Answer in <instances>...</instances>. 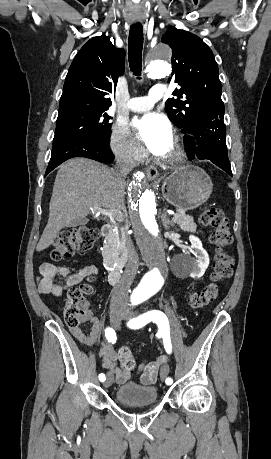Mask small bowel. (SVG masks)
<instances>
[{"label": "small bowel", "mask_w": 271, "mask_h": 459, "mask_svg": "<svg viewBox=\"0 0 271 459\" xmlns=\"http://www.w3.org/2000/svg\"><path fill=\"white\" fill-rule=\"evenodd\" d=\"M98 273L95 266H87L77 272L71 273L70 269L65 266H55L51 263H45L41 266L40 276L37 281L38 291L41 294H51L60 297L64 292L80 283L84 278L94 276ZM64 282L61 283L60 281ZM88 323L87 331L81 327H70L71 334L82 344L93 348L97 354L102 357V368L113 377V380L122 384L131 377V372L121 368L118 365V358L115 349L106 343H103L100 337L101 323L100 320L89 314L84 320ZM166 361L165 357H160L155 361H144L139 367L140 383L143 385L153 384L158 376L160 365Z\"/></svg>", "instance_id": "1"}]
</instances>
